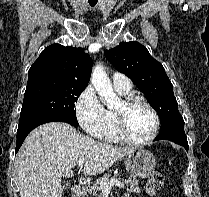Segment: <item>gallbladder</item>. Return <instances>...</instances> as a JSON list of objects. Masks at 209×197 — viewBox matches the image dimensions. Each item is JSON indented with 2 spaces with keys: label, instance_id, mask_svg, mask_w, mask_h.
<instances>
[{
  "label": "gallbladder",
  "instance_id": "obj_1",
  "mask_svg": "<svg viewBox=\"0 0 209 197\" xmlns=\"http://www.w3.org/2000/svg\"><path fill=\"white\" fill-rule=\"evenodd\" d=\"M64 187H65V188H67V187H68V185H65Z\"/></svg>",
  "mask_w": 209,
  "mask_h": 197
}]
</instances>
